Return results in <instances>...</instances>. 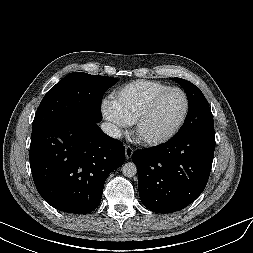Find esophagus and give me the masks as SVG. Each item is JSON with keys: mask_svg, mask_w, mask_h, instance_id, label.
<instances>
[{"mask_svg": "<svg viewBox=\"0 0 253 253\" xmlns=\"http://www.w3.org/2000/svg\"><path fill=\"white\" fill-rule=\"evenodd\" d=\"M132 154H133V148L126 145L125 146V156H126V159H130L132 157Z\"/></svg>", "mask_w": 253, "mask_h": 253, "instance_id": "esophagus-1", "label": "esophagus"}]
</instances>
